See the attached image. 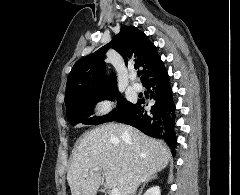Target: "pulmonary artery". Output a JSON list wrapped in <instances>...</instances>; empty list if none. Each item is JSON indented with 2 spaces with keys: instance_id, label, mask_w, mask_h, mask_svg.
Wrapping results in <instances>:
<instances>
[{
  "instance_id": "pulmonary-artery-1",
  "label": "pulmonary artery",
  "mask_w": 240,
  "mask_h": 195,
  "mask_svg": "<svg viewBox=\"0 0 240 195\" xmlns=\"http://www.w3.org/2000/svg\"><path fill=\"white\" fill-rule=\"evenodd\" d=\"M132 89L135 91V92H142L143 91V86L138 83V82H134L133 85H132Z\"/></svg>"
}]
</instances>
